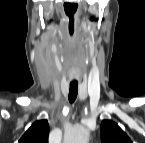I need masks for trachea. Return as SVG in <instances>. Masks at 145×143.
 I'll use <instances>...</instances> for the list:
<instances>
[{"label": "trachea", "mask_w": 145, "mask_h": 143, "mask_svg": "<svg viewBox=\"0 0 145 143\" xmlns=\"http://www.w3.org/2000/svg\"><path fill=\"white\" fill-rule=\"evenodd\" d=\"M77 94H78V83H70L69 96H68L70 103H73L76 100Z\"/></svg>", "instance_id": "obj_1"}]
</instances>
